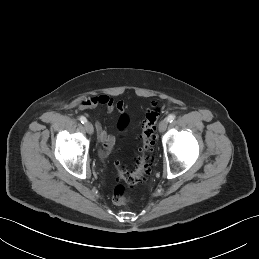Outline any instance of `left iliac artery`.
<instances>
[{"label":"left iliac artery","mask_w":259,"mask_h":259,"mask_svg":"<svg viewBox=\"0 0 259 259\" xmlns=\"http://www.w3.org/2000/svg\"><path fill=\"white\" fill-rule=\"evenodd\" d=\"M175 119V115H173V114H170L168 117H167V121L168 122H173V120Z\"/></svg>","instance_id":"obj_1"}]
</instances>
